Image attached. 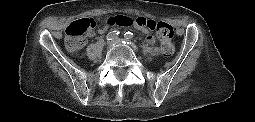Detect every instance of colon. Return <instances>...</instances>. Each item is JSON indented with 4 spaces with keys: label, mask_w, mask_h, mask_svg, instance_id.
<instances>
[{
    "label": "colon",
    "mask_w": 255,
    "mask_h": 122,
    "mask_svg": "<svg viewBox=\"0 0 255 122\" xmlns=\"http://www.w3.org/2000/svg\"><path fill=\"white\" fill-rule=\"evenodd\" d=\"M111 21L121 27H136L144 31H154L160 40L161 53L170 57L174 53L173 28L162 21H155L146 17L132 18L124 15H117ZM95 22L92 19H80L70 23L65 31V42L68 49L76 52L81 48L88 34L94 29Z\"/></svg>",
    "instance_id": "1"
}]
</instances>
